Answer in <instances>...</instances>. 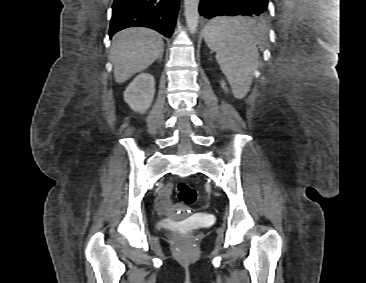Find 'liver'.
<instances>
[{"label": "liver", "instance_id": "1", "mask_svg": "<svg viewBox=\"0 0 366 283\" xmlns=\"http://www.w3.org/2000/svg\"><path fill=\"white\" fill-rule=\"evenodd\" d=\"M164 41L159 33L147 27H130L114 35L111 61L117 83L148 68L163 53Z\"/></svg>", "mask_w": 366, "mask_h": 283}]
</instances>
